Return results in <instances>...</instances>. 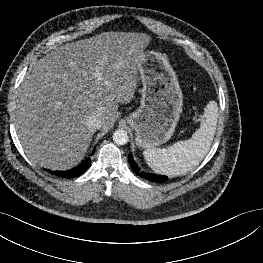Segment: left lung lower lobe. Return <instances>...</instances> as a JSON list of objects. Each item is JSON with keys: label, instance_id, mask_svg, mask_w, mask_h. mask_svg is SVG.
I'll return each mask as SVG.
<instances>
[{"label": "left lung lower lobe", "instance_id": "obj_1", "mask_svg": "<svg viewBox=\"0 0 263 263\" xmlns=\"http://www.w3.org/2000/svg\"><path fill=\"white\" fill-rule=\"evenodd\" d=\"M128 161H129L132 169L134 170V172L137 175H140L141 177H144V178H146V179H148L150 181H153V182H165L168 179L165 176L154 175V174H149V173H145V172H140L139 173V168L136 165V163L133 161L131 154L128 156Z\"/></svg>", "mask_w": 263, "mask_h": 263}]
</instances>
